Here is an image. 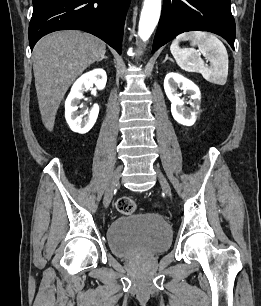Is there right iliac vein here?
<instances>
[{"label":"right iliac vein","instance_id":"right-iliac-vein-1","mask_svg":"<svg viewBox=\"0 0 261 306\" xmlns=\"http://www.w3.org/2000/svg\"><path fill=\"white\" fill-rule=\"evenodd\" d=\"M121 169H122L121 166H118L115 169V171L112 174V177H111V179H110V181L107 185L105 195H104V202H103L105 207H108L110 202H111L114 189L117 186V184L119 182V179H120V176H121Z\"/></svg>","mask_w":261,"mask_h":306}]
</instances>
